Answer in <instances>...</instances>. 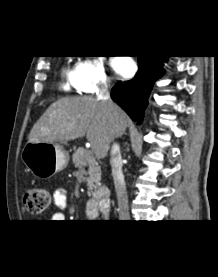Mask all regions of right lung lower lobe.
Instances as JSON below:
<instances>
[{
	"instance_id": "right-lung-lower-lobe-1",
	"label": "right lung lower lobe",
	"mask_w": 218,
	"mask_h": 277,
	"mask_svg": "<svg viewBox=\"0 0 218 277\" xmlns=\"http://www.w3.org/2000/svg\"><path fill=\"white\" fill-rule=\"evenodd\" d=\"M163 56H138L139 70L135 77L117 83L111 91L112 99L140 124L154 82L163 74Z\"/></svg>"
}]
</instances>
